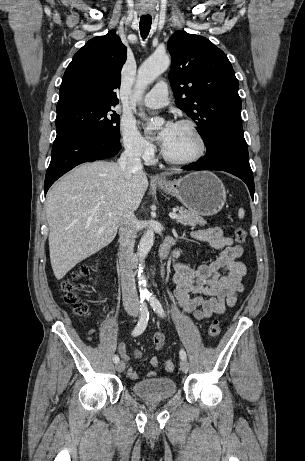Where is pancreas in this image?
I'll return each instance as SVG.
<instances>
[{
  "label": "pancreas",
  "instance_id": "pancreas-1",
  "mask_svg": "<svg viewBox=\"0 0 305 461\" xmlns=\"http://www.w3.org/2000/svg\"><path fill=\"white\" fill-rule=\"evenodd\" d=\"M175 210L179 213L178 217L176 218L177 223H180L184 226H204L206 224V220H204L201 216L194 212L186 210L183 207L177 206Z\"/></svg>",
  "mask_w": 305,
  "mask_h": 461
}]
</instances>
